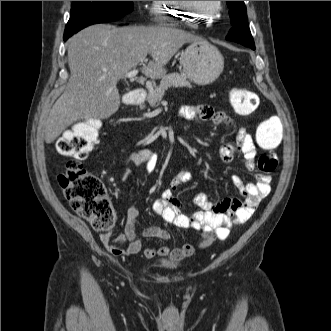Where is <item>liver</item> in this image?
I'll list each match as a JSON object with an SVG mask.
<instances>
[{"label":"liver","instance_id":"liver-1","mask_svg":"<svg viewBox=\"0 0 331 331\" xmlns=\"http://www.w3.org/2000/svg\"><path fill=\"white\" fill-rule=\"evenodd\" d=\"M200 37L164 25L116 28L91 25L68 40L70 78L43 123L50 144L81 119H107L120 106L117 82L138 65L151 79L166 74L165 66L188 42ZM152 60L147 63V55ZM147 63V64H146Z\"/></svg>","mask_w":331,"mask_h":331}]
</instances>
